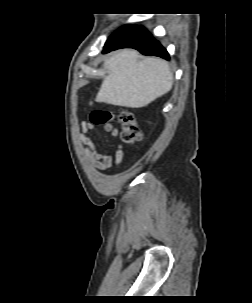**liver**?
<instances>
[{
  "mask_svg": "<svg viewBox=\"0 0 252 303\" xmlns=\"http://www.w3.org/2000/svg\"><path fill=\"white\" fill-rule=\"evenodd\" d=\"M109 70L96 96L98 102L141 108L169 92L173 74L168 63L160 58L139 60V53L124 49L104 64Z\"/></svg>",
  "mask_w": 252,
  "mask_h": 303,
  "instance_id": "obj_1",
  "label": "liver"
}]
</instances>
